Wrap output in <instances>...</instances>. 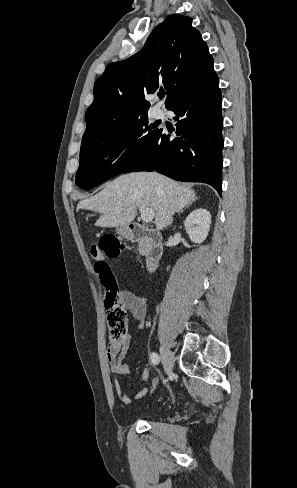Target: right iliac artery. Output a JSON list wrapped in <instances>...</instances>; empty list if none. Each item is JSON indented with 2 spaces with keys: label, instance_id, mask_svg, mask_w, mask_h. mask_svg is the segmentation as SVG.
Here are the masks:
<instances>
[{
  "label": "right iliac artery",
  "instance_id": "82829eb1",
  "mask_svg": "<svg viewBox=\"0 0 297 488\" xmlns=\"http://www.w3.org/2000/svg\"><path fill=\"white\" fill-rule=\"evenodd\" d=\"M150 360L151 362L154 364V365H158L159 361H160V357L158 356L157 353L155 352H152L151 355H150Z\"/></svg>",
  "mask_w": 297,
  "mask_h": 488
}]
</instances>
